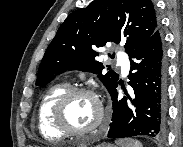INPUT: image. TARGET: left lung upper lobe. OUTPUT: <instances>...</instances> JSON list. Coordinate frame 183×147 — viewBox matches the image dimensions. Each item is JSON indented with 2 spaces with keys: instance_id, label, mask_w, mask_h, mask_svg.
I'll return each mask as SVG.
<instances>
[{
  "instance_id": "5c2ea615",
  "label": "left lung upper lobe",
  "mask_w": 183,
  "mask_h": 147,
  "mask_svg": "<svg viewBox=\"0 0 183 147\" xmlns=\"http://www.w3.org/2000/svg\"><path fill=\"white\" fill-rule=\"evenodd\" d=\"M158 28L151 0H94L59 27L39 66L36 85L43 87L66 70H82L98 74L110 93L119 75L109 68L102 74L105 67L95 59L93 48L123 41L129 55Z\"/></svg>"
}]
</instances>
